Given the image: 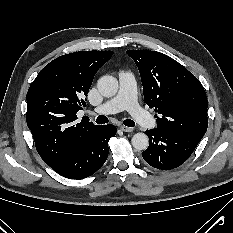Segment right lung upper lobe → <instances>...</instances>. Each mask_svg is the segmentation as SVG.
Masks as SVG:
<instances>
[{
	"mask_svg": "<svg viewBox=\"0 0 233 233\" xmlns=\"http://www.w3.org/2000/svg\"><path fill=\"white\" fill-rule=\"evenodd\" d=\"M112 51H78L47 64L27 93V126L36 150L51 165L79 149L101 126L82 120L76 113L85 106L97 70Z\"/></svg>",
	"mask_w": 233,
	"mask_h": 233,
	"instance_id": "cb5924a9",
	"label": "right lung upper lobe"
}]
</instances>
